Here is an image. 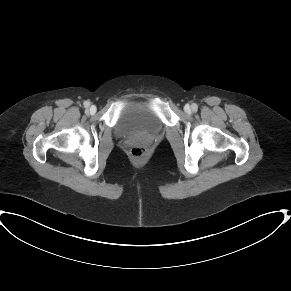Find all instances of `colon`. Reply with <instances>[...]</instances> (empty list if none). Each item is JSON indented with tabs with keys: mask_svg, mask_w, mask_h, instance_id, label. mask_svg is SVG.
<instances>
[{
	"mask_svg": "<svg viewBox=\"0 0 291 291\" xmlns=\"http://www.w3.org/2000/svg\"><path fill=\"white\" fill-rule=\"evenodd\" d=\"M130 157L136 162H143L148 156V149L144 145H134L130 151Z\"/></svg>",
	"mask_w": 291,
	"mask_h": 291,
	"instance_id": "obj_1",
	"label": "colon"
}]
</instances>
